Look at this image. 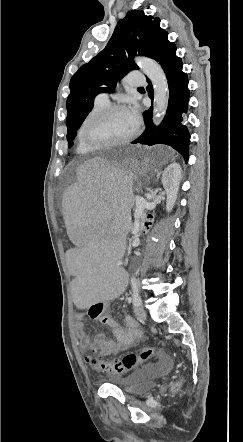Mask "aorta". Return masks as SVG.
Instances as JSON below:
<instances>
[{
	"instance_id": "1",
	"label": "aorta",
	"mask_w": 243,
	"mask_h": 442,
	"mask_svg": "<svg viewBox=\"0 0 243 442\" xmlns=\"http://www.w3.org/2000/svg\"><path fill=\"white\" fill-rule=\"evenodd\" d=\"M141 70L151 80L154 90V124L158 126L167 111L169 102V86L166 75L161 66L149 59H138Z\"/></svg>"
}]
</instances>
